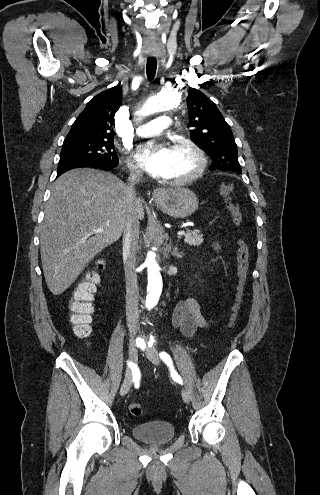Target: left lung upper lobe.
Wrapping results in <instances>:
<instances>
[{
    "label": "left lung upper lobe",
    "instance_id": "5c2ea615",
    "mask_svg": "<svg viewBox=\"0 0 320 495\" xmlns=\"http://www.w3.org/2000/svg\"><path fill=\"white\" fill-rule=\"evenodd\" d=\"M186 101L190 137L213 159L210 169L241 174L233 133L217 106L197 89L189 90Z\"/></svg>",
    "mask_w": 320,
    "mask_h": 495
}]
</instances>
